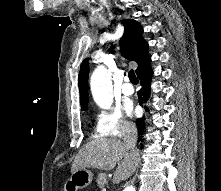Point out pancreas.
Returning a JSON list of instances; mask_svg holds the SVG:
<instances>
[{"label": "pancreas", "mask_w": 221, "mask_h": 191, "mask_svg": "<svg viewBox=\"0 0 221 191\" xmlns=\"http://www.w3.org/2000/svg\"><path fill=\"white\" fill-rule=\"evenodd\" d=\"M96 182H97V185L99 186V188H103L107 182V175L105 173L99 174L96 179Z\"/></svg>", "instance_id": "cf45deb5"}]
</instances>
